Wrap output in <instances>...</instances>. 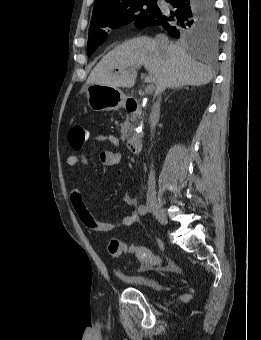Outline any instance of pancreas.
Returning <instances> with one entry per match:
<instances>
[{"instance_id": "pancreas-1", "label": "pancreas", "mask_w": 261, "mask_h": 340, "mask_svg": "<svg viewBox=\"0 0 261 340\" xmlns=\"http://www.w3.org/2000/svg\"><path fill=\"white\" fill-rule=\"evenodd\" d=\"M132 120V117H127L126 121L122 124L121 128V140L125 141L126 139L130 138L132 135V124L129 122Z\"/></svg>"}]
</instances>
